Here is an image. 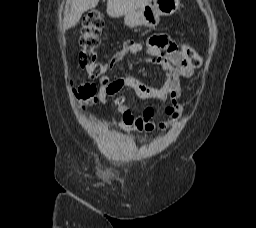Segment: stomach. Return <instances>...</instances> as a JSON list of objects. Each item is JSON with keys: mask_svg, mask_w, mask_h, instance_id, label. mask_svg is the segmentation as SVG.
Segmentation results:
<instances>
[{"mask_svg": "<svg viewBox=\"0 0 256 228\" xmlns=\"http://www.w3.org/2000/svg\"><path fill=\"white\" fill-rule=\"evenodd\" d=\"M152 1L132 13L125 14L124 23L131 28L138 26L154 28L159 24L160 16L172 15L180 4V0Z\"/></svg>", "mask_w": 256, "mask_h": 228, "instance_id": "1", "label": "stomach"}]
</instances>
